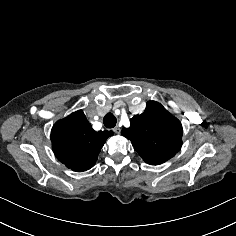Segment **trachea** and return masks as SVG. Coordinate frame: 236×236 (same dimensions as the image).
I'll return each instance as SVG.
<instances>
[{
  "instance_id": "trachea-1",
  "label": "trachea",
  "mask_w": 236,
  "mask_h": 236,
  "mask_svg": "<svg viewBox=\"0 0 236 236\" xmlns=\"http://www.w3.org/2000/svg\"><path fill=\"white\" fill-rule=\"evenodd\" d=\"M103 123L106 128H113L117 124V118L112 113H107L103 118Z\"/></svg>"
}]
</instances>
